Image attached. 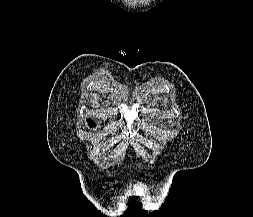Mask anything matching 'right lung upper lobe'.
Returning a JSON list of instances; mask_svg holds the SVG:
<instances>
[{
    "label": "right lung upper lobe",
    "mask_w": 253,
    "mask_h": 217,
    "mask_svg": "<svg viewBox=\"0 0 253 217\" xmlns=\"http://www.w3.org/2000/svg\"><path fill=\"white\" fill-rule=\"evenodd\" d=\"M87 121L90 125H95V123L91 119H88Z\"/></svg>",
    "instance_id": "right-lung-upper-lobe-1"
}]
</instances>
